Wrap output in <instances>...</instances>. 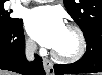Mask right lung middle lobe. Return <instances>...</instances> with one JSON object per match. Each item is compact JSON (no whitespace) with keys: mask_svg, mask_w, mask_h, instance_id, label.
I'll list each match as a JSON object with an SVG mask.
<instances>
[{"mask_svg":"<svg viewBox=\"0 0 102 75\" xmlns=\"http://www.w3.org/2000/svg\"><path fill=\"white\" fill-rule=\"evenodd\" d=\"M19 21H21V19L10 16V11L4 8V1H0V26H12Z\"/></svg>","mask_w":102,"mask_h":75,"instance_id":"1","label":"right lung middle lobe"}]
</instances>
